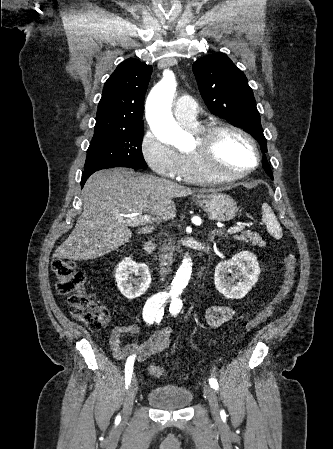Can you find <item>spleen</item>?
Wrapping results in <instances>:
<instances>
[{
  "label": "spleen",
  "instance_id": "3e777b00",
  "mask_svg": "<svg viewBox=\"0 0 333 449\" xmlns=\"http://www.w3.org/2000/svg\"><path fill=\"white\" fill-rule=\"evenodd\" d=\"M262 210V221L266 224L267 231L274 238L281 239L283 236L282 228L271 207L265 202L262 205Z\"/></svg>",
  "mask_w": 333,
  "mask_h": 449
}]
</instances>
